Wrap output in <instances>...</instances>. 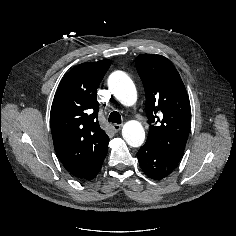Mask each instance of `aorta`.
<instances>
[{
	"label": "aorta",
	"instance_id": "aorta-1",
	"mask_svg": "<svg viewBox=\"0 0 236 236\" xmlns=\"http://www.w3.org/2000/svg\"><path fill=\"white\" fill-rule=\"evenodd\" d=\"M109 88L114 96L125 106L135 104L137 100L136 87L131 78L122 71H115L109 76ZM122 136L131 147H139L145 140V131L138 121H128L122 129Z\"/></svg>",
	"mask_w": 236,
	"mask_h": 236
}]
</instances>
